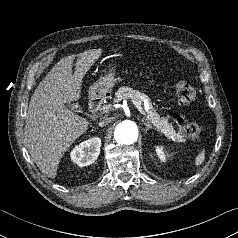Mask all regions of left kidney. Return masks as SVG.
I'll use <instances>...</instances> for the list:
<instances>
[{
    "label": "left kidney",
    "mask_w": 238,
    "mask_h": 238,
    "mask_svg": "<svg viewBox=\"0 0 238 238\" xmlns=\"http://www.w3.org/2000/svg\"><path fill=\"white\" fill-rule=\"evenodd\" d=\"M156 153H157V155H158V157L161 161H163V162L166 161V155H165V152L163 150V147L157 146L156 147Z\"/></svg>",
    "instance_id": "1"
}]
</instances>
